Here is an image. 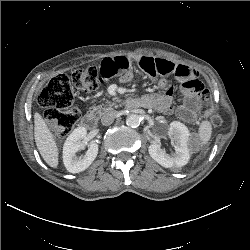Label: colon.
<instances>
[{
    "instance_id": "colon-1",
    "label": "colon",
    "mask_w": 250,
    "mask_h": 250,
    "mask_svg": "<svg viewBox=\"0 0 250 250\" xmlns=\"http://www.w3.org/2000/svg\"><path fill=\"white\" fill-rule=\"evenodd\" d=\"M103 80L100 69L87 67L75 70L71 78L65 74L57 75L46 84L38 102L46 109V121L54 135L69 134L80 117L79 110L73 105V86L85 93H91L97 90ZM199 109L209 117L214 126L222 124V115L214 110L212 96L206 89L200 91Z\"/></svg>"
}]
</instances>
